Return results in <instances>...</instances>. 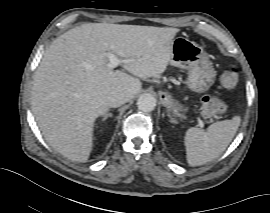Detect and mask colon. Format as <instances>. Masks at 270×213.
Returning a JSON list of instances; mask_svg holds the SVG:
<instances>
[{"mask_svg": "<svg viewBox=\"0 0 270 213\" xmlns=\"http://www.w3.org/2000/svg\"><path fill=\"white\" fill-rule=\"evenodd\" d=\"M238 79V71L233 68L222 76L221 84L226 90H233L238 84ZM200 111L206 118H217L225 113L226 105L217 97L205 95L201 100Z\"/></svg>", "mask_w": 270, "mask_h": 213, "instance_id": "colon-1", "label": "colon"}]
</instances>
